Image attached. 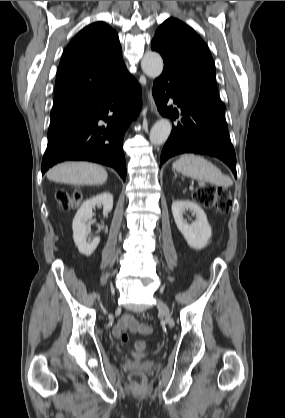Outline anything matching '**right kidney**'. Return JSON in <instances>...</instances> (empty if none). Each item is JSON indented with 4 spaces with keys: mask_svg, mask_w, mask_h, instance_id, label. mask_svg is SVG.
<instances>
[{
    "mask_svg": "<svg viewBox=\"0 0 285 418\" xmlns=\"http://www.w3.org/2000/svg\"><path fill=\"white\" fill-rule=\"evenodd\" d=\"M96 206H102L104 214L109 213L113 208L112 195L105 192L83 202L72 223L75 245L78 247L79 252L85 256H90L100 242V237L93 239L87 237V223L92 219V210Z\"/></svg>",
    "mask_w": 285,
    "mask_h": 418,
    "instance_id": "obj_1",
    "label": "right kidney"
}]
</instances>
